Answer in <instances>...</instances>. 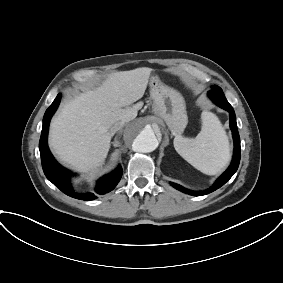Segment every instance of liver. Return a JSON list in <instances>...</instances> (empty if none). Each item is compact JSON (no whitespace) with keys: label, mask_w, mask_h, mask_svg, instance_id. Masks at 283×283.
I'll use <instances>...</instances> for the list:
<instances>
[{"label":"liver","mask_w":283,"mask_h":283,"mask_svg":"<svg viewBox=\"0 0 283 283\" xmlns=\"http://www.w3.org/2000/svg\"><path fill=\"white\" fill-rule=\"evenodd\" d=\"M151 68L110 74L103 83L77 95L52 119L49 144L58 157L77 171H96L107 157L116 122L134 120L143 103Z\"/></svg>","instance_id":"1"}]
</instances>
